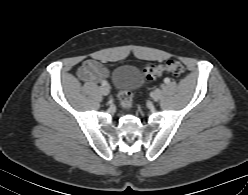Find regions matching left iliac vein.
Returning <instances> with one entry per match:
<instances>
[{
    "mask_svg": "<svg viewBox=\"0 0 248 195\" xmlns=\"http://www.w3.org/2000/svg\"><path fill=\"white\" fill-rule=\"evenodd\" d=\"M161 98V91L159 89H156L153 93H152V99L154 101H158Z\"/></svg>",
    "mask_w": 248,
    "mask_h": 195,
    "instance_id": "1",
    "label": "left iliac vein"
}]
</instances>
